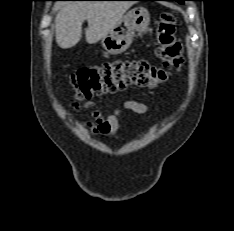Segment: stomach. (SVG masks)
<instances>
[{"label":"stomach","mask_w":234,"mask_h":231,"mask_svg":"<svg viewBox=\"0 0 234 231\" xmlns=\"http://www.w3.org/2000/svg\"><path fill=\"white\" fill-rule=\"evenodd\" d=\"M149 23L150 14L146 8H133L101 39V45L109 54L123 53L132 43L135 32L143 33Z\"/></svg>","instance_id":"obj_1"}]
</instances>
